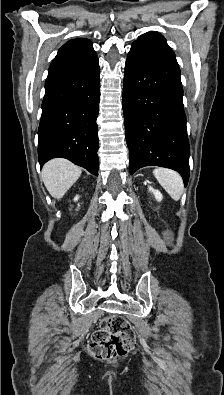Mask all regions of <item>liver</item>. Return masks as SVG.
Instances as JSON below:
<instances>
[{
  "label": "liver",
  "instance_id": "1",
  "mask_svg": "<svg viewBox=\"0 0 224 395\" xmlns=\"http://www.w3.org/2000/svg\"><path fill=\"white\" fill-rule=\"evenodd\" d=\"M81 173L80 167L66 159L56 158L43 166L41 177L50 195L61 199Z\"/></svg>",
  "mask_w": 224,
  "mask_h": 395
}]
</instances>
